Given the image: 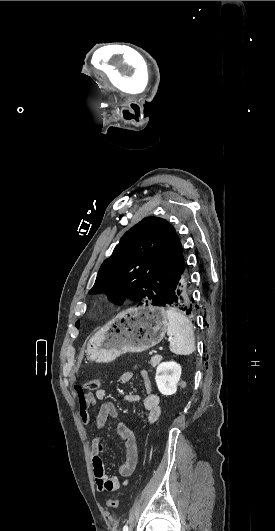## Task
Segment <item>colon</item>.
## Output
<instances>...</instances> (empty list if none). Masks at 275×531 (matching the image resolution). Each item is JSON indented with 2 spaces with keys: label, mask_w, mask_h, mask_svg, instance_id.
I'll return each instance as SVG.
<instances>
[{
  "label": "colon",
  "mask_w": 275,
  "mask_h": 531,
  "mask_svg": "<svg viewBox=\"0 0 275 531\" xmlns=\"http://www.w3.org/2000/svg\"><path fill=\"white\" fill-rule=\"evenodd\" d=\"M101 387V378L95 377L86 381L84 384V389L86 392H98ZM107 506L110 509H117L119 506V499L117 497H112L107 500Z\"/></svg>",
  "instance_id": "colon-1"
}]
</instances>
